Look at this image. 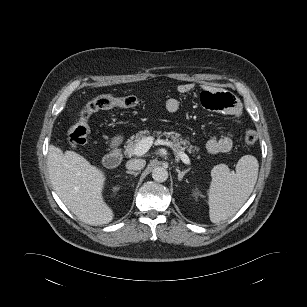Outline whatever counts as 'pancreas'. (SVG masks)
I'll list each match as a JSON object with an SVG mask.
<instances>
[{
  "label": "pancreas",
  "instance_id": "pancreas-1",
  "mask_svg": "<svg viewBox=\"0 0 307 307\" xmlns=\"http://www.w3.org/2000/svg\"><path fill=\"white\" fill-rule=\"evenodd\" d=\"M149 133L148 130L140 131L134 136H131L130 139H128L127 144L125 146V155L132 156L134 154V150L136 145L142 140L145 139L147 134ZM162 135L166 137V139H171L173 146L180 150L184 151L187 150L189 153H197L199 151V147L193 146L190 144V142L187 139H183L181 135L177 132L171 131V132H163ZM197 158H200V156H197Z\"/></svg>",
  "mask_w": 307,
  "mask_h": 307
}]
</instances>
